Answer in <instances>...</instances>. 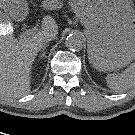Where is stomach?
Wrapping results in <instances>:
<instances>
[{"label":"stomach","instance_id":"stomach-1","mask_svg":"<svg viewBox=\"0 0 135 135\" xmlns=\"http://www.w3.org/2000/svg\"><path fill=\"white\" fill-rule=\"evenodd\" d=\"M14 16L25 15L27 0H2ZM60 0H48L56 7ZM85 26L88 58L99 71H113L135 59V10L129 0H69Z\"/></svg>","mask_w":135,"mask_h":135}]
</instances>
